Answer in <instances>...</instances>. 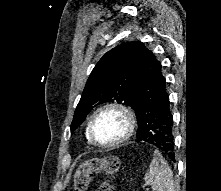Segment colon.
<instances>
[{"label": "colon", "mask_w": 221, "mask_h": 191, "mask_svg": "<svg viewBox=\"0 0 221 191\" xmlns=\"http://www.w3.org/2000/svg\"><path fill=\"white\" fill-rule=\"evenodd\" d=\"M120 169V161L115 156H101L84 161L74 175L75 191H87L94 175H103L105 179L100 183L98 191H115L113 177Z\"/></svg>", "instance_id": "obj_1"}]
</instances>
